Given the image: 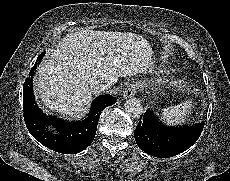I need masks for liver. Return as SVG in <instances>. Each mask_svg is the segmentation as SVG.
Here are the masks:
<instances>
[{
  "instance_id": "obj_1",
  "label": "liver",
  "mask_w": 230,
  "mask_h": 181,
  "mask_svg": "<svg viewBox=\"0 0 230 181\" xmlns=\"http://www.w3.org/2000/svg\"><path fill=\"white\" fill-rule=\"evenodd\" d=\"M55 48L38 68L34 89L46 110L63 117L86 110L95 81L144 73L152 64L148 42L127 33L81 30Z\"/></svg>"
}]
</instances>
